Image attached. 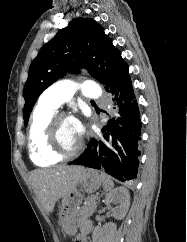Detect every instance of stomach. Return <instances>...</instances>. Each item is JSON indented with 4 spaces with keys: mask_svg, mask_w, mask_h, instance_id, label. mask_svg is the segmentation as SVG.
<instances>
[{
    "mask_svg": "<svg viewBox=\"0 0 187 242\" xmlns=\"http://www.w3.org/2000/svg\"><path fill=\"white\" fill-rule=\"evenodd\" d=\"M102 183V177L98 171L83 169L78 181L79 189L75 187L62 198L58 223L67 235H74L81 221L79 212L83 201L82 192L94 193Z\"/></svg>",
    "mask_w": 187,
    "mask_h": 242,
    "instance_id": "stomach-1",
    "label": "stomach"
}]
</instances>
